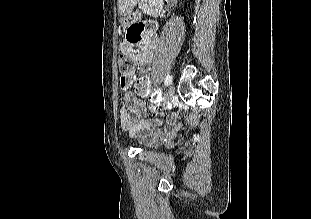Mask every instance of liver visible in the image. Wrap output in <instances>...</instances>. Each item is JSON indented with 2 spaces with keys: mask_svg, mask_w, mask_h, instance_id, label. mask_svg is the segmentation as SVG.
Instances as JSON below:
<instances>
[{
  "mask_svg": "<svg viewBox=\"0 0 311 219\" xmlns=\"http://www.w3.org/2000/svg\"><path fill=\"white\" fill-rule=\"evenodd\" d=\"M132 0H118V10L121 15L126 14L131 9Z\"/></svg>",
  "mask_w": 311,
  "mask_h": 219,
  "instance_id": "6515ba94",
  "label": "liver"
}]
</instances>
